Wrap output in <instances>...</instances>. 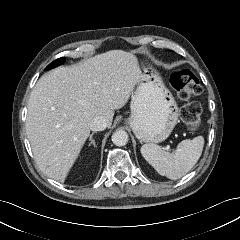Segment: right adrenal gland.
I'll list each match as a JSON object with an SVG mask.
<instances>
[{
	"mask_svg": "<svg viewBox=\"0 0 240 240\" xmlns=\"http://www.w3.org/2000/svg\"><path fill=\"white\" fill-rule=\"evenodd\" d=\"M93 135H94V132L90 135V137H89V146L92 144L94 147H96V143H95V140L94 139H92V137H93Z\"/></svg>",
	"mask_w": 240,
	"mask_h": 240,
	"instance_id": "right-adrenal-gland-1",
	"label": "right adrenal gland"
}]
</instances>
